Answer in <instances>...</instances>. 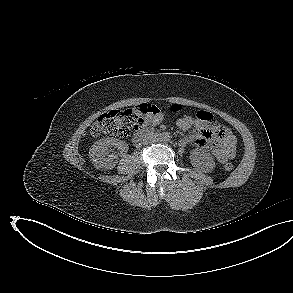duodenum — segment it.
I'll list each match as a JSON object with an SVG mask.
<instances>
[{"label": "duodenum", "mask_w": 293, "mask_h": 293, "mask_svg": "<svg viewBox=\"0 0 293 293\" xmlns=\"http://www.w3.org/2000/svg\"><path fill=\"white\" fill-rule=\"evenodd\" d=\"M151 134H153L151 131L149 130H139L137 131L133 137H132V142L134 144H139L141 143L145 138H147L148 136H150Z\"/></svg>", "instance_id": "obj_1"}]
</instances>
